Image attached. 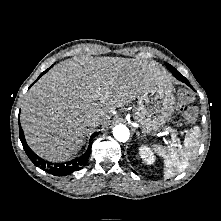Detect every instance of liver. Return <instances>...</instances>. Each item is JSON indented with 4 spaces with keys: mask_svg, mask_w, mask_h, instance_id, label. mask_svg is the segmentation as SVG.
Here are the masks:
<instances>
[{
    "mask_svg": "<svg viewBox=\"0 0 221 221\" xmlns=\"http://www.w3.org/2000/svg\"><path fill=\"white\" fill-rule=\"evenodd\" d=\"M171 84L156 62L83 56L55 65L26 94L21 125L30 148L61 162L80 151L88 121L106 127L117 107L155 84Z\"/></svg>",
    "mask_w": 221,
    "mask_h": 221,
    "instance_id": "liver-1",
    "label": "liver"
}]
</instances>
